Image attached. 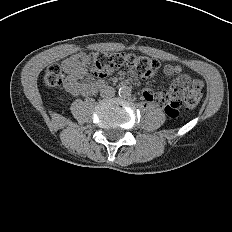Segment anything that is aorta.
Wrapping results in <instances>:
<instances>
[{"label":"aorta","mask_w":232,"mask_h":232,"mask_svg":"<svg viewBox=\"0 0 232 232\" xmlns=\"http://www.w3.org/2000/svg\"><path fill=\"white\" fill-rule=\"evenodd\" d=\"M119 95L123 98H127L131 96V88L129 86H121L118 91Z\"/></svg>","instance_id":"obj_1"}]
</instances>
